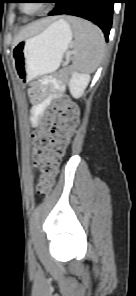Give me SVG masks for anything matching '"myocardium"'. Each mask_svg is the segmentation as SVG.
I'll return each instance as SVG.
<instances>
[{
    "instance_id": "1",
    "label": "myocardium",
    "mask_w": 136,
    "mask_h": 296,
    "mask_svg": "<svg viewBox=\"0 0 136 296\" xmlns=\"http://www.w3.org/2000/svg\"><path fill=\"white\" fill-rule=\"evenodd\" d=\"M21 9L24 11V6H23V4L21 5ZM35 11H36V10H35ZM35 11L30 12V13H34Z\"/></svg>"
}]
</instances>
